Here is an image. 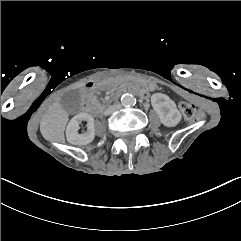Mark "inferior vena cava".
<instances>
[{
  "mask_svg": "<svg viewBox=\"0 0 241 241\" xmlns=\"http://www.w3.org/2000/svg\"><path fill=\"white\" fill-rule=\"evenodd\" d=\"M117 110V107L116 106H110L108 107L105 111H104V115L105 116H108L110 115L111 113H113L114 111Z\"/></svg>",
  "mask_w": 241,
  "mask_h": 241,
  "instance_id": "obj_1",
  "label": "inferior vena cava"
}]
</instances>
